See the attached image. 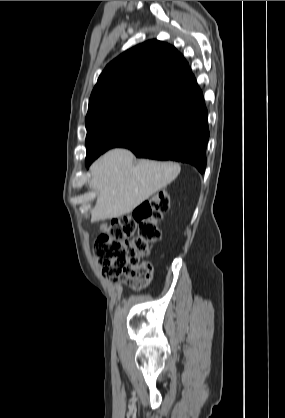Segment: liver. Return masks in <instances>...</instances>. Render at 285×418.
<instances>
[{
  "label": "liver",
  "instance_id": "1",
  "mask_svg": "<svg viewBox=\"0 0 285 418\" xmlns=\"http://www.w3.org/2000/svg\"><path fill=\"white\" fill-rule=\"evenodd\" d=\"M174 162L139 160L132 152L113 149L90 167L88 182L97 191V201L91 210V221L121 217L132 212L151 195L166 187L180 173Z\"/></svg>",
  "mask_w": 285,
  "mask_h": 418
}]
</instances>
